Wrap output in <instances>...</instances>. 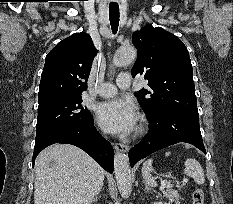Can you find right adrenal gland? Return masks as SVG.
I'll return each instance as SVG.
<instances>
[{"instance_id":"2a0ac1e0","label":"right adrenal gland","mask_w":233,"mask_h":204,"mask_svg":"<svg viewBox=\"0 0 233 204\" xmlns=\"http://www.w3.org/2000/svg\"><path fill=\"white\" fill-rule=\"evenodd\" d=\"M99 193H100V191L95 195V197L93 198L91 204L97 202Z\"/></svg>"}]
</instances>
